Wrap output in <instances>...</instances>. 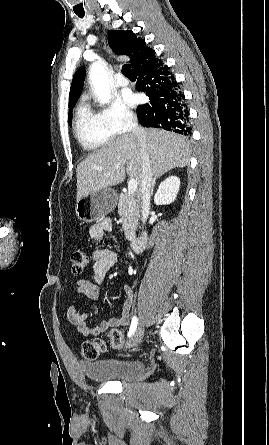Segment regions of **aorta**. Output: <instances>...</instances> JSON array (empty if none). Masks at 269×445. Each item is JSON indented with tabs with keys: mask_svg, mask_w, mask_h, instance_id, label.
Segmentation results:
<instances>
[{
	"mask_svg": "<svg viewBox=\"0 0 269 445\" xmlns=\"http://www.w3.org/2000/svg\"><path fill=\"white\" fill-rule=\"evenodd\" d=\"M89 80L98 97L99 104H107L111 99L109 80L104 67L100 63L94 62L90 66Z\"/></svg>",
	"mask_w": 269,
	"mask_h": 445,
	"instance_id": "1",
	"label": "aorta"
}]
</instances>
